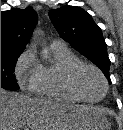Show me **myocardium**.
<instances>
[{
    "label": "myocardium",
    "instance_id": "myocardium-1",
    "mask_svg": "<svg viewBox=\"0 0 123 130\" xmlns=\"http://www.w3.org/2000/svg\"><path fill=\"white\" fill-rule=\"evenodd\" d=\"M85 70H91L95 72L103 83L104 91L102 95L97 99H91L85 95L79 84V77ZM66 85L68 89L81 101L96 103L104 98L108 91V82L102 71L93 64L78 62L71 65L66 71Z\"/></svg>",
    "mask_w": 123,
    "mask_h": 130
}]
</instances>
